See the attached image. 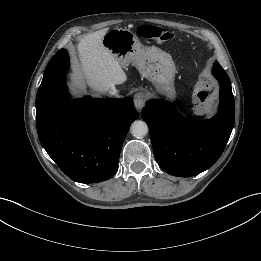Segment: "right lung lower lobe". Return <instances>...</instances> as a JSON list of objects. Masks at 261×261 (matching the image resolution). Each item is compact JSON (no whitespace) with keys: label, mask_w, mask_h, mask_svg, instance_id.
<instances>
[{"label":"right lung lower lobe","mask_w":261,"mask_h":261,"mask_svg":"<svg viewBox=\"0 0 261 261\" xmlns=\"http://www.w3.org/2000/svg\"><path fill=\"white\" fill-rule=\"evenodd\" d=\"M138 118L131 98L68 101L65 73L36 97L40 142L72 180L97 183L118 169L120 151Z\"/></svg>","instance_id":"obj_1"}]
</instances>
